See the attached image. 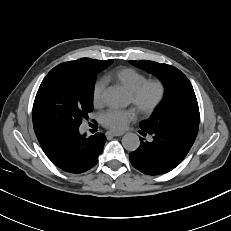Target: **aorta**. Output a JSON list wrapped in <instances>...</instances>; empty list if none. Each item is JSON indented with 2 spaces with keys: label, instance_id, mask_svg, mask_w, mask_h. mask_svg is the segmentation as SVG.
<instances>
[{
  "label": "aorta",
  "instance_id": "obj_1",
  "mask_svg": "<svg viewBox=\"0 0 231 231\" xmlns=\"http://www.w3.org/2000/svg\"><path fill=\"white\" fill-rule=\"evenodd\" d=\"M105 103L114 108H123L127 105L125 96L115 88H110L104 93ZM122 145L128 151H135L140 146V140L135 133H126L122 138Z\"/></svg>",
  "mask_w": 231,
  "mask_h": 231
}]
</instances>
